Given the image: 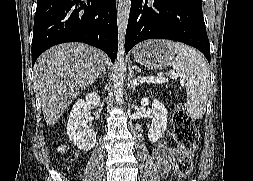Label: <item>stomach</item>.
<instances>
[{"instance_id":"1","label":"stomach","mask_w":253,"mask_h":181,"mask_svg":"<svg viewBox=\"0 0 253 181\" xmlns=\"http://www.w3.org/2000/svg\"><path fill=\"white\" fill-rule=\"evenodd\" d=\"M164 40H149L138 45L134 50L137 63L150 69L169 66L174 58L173 51Z\"/></svg>"}]
</instances>
